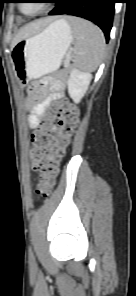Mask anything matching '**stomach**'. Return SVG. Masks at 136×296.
I'll return each instance as SVG.
<instances>
[{
  "label": "stomach",
  "mask_w": 136,
  "mask_h": 296,
  "mask_svg": "<svg viewBox=\"0 0 136 296\" xmlns=\"http://www.w3.org/2000/svg\"><path fill=\"white\" fill-rule=\"evenodd\" d=\"M72 39L71 26L59 19L18 41L11 53L16 74L25 83L56 71Z\"/></svg>",
  "instance_id": "0dacf381"
}]
</instances>
